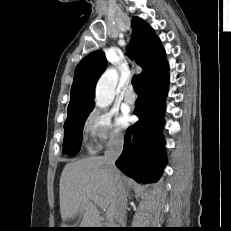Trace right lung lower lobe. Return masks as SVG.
<instances>
[{
  "label": "right lung lower lobe",
  "instance_id": "1",
  "mask_svg": "<svg viewBox=\"0 0 231 231\" xmlns=\"http://www.w3.org/2000/svg\"><path fill=\"white\" fill-rule=\"evenodd\" d=\"M168 81L166 71L141 84V95L134 110L139 121L127 129L123 152L116 161L124 174L141 183L156 182L165 164L161 130Z\"/></svg>",
  "mask_w": 231,
  "mask_h": 231
}]
</instances>
